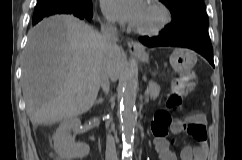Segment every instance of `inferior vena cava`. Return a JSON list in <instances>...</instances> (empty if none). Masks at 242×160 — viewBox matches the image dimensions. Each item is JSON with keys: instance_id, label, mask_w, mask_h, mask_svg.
Listing matches in <instances>:
<instances>
[{"instance_id": "inferior-vena-cava-1", "label": "inferior vena cava", "mask_w": 242, "mask_h": 160, "mask_svg": "<svg viewBox=\"0 0 242 160\" xmlns=\"http://www.w3.org/2000/svg\"><path fill=\"white\" fill-rule=\"evenodd\" d=\"M102 37L106 47L109 50L105 68H101L100 86L107 94L110 88V81H116L122 63V51L117 50L118 41L117 28L112 24H104L101 26ZM105 160H118L116 153L115 140L111 135L106 139Z\"/></svg>"}]
</instances>
